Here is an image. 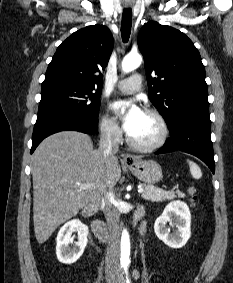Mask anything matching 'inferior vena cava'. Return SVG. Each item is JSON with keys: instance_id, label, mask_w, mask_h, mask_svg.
I'll use <instances>...</instances> for the list:
<instances>
[{"instance_id": "obj_1", "label": "inferior vena cava", "mask_w": 233, "mask_h": 283, "mask_svg": "<svg viewBox=\"0 0 233 283\" xmlns=\"http://www.w3.org/2000/svg\"><path fill=\"white\" fill-rule=\"evenodd\" d=\"M114 127H107L101 132L99 149L105 158H110L118 152V142L113 136ZM115 196L109 191L102 198V207L108 224L109 236L105 257L106 270L118 268L120 257L119 217L120 214L114 206Z\"/></svg>"}]
</instances>
